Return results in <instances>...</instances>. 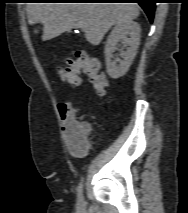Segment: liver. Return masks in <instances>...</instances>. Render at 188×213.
Here are the masks:
<instances>
[{
	"instance_id": "liver-1",
	"label": "liver",
	"mask_w": 188,
	"mask_h": 213,
	"mask_svg": "<svg viewBox=\"0 0 188 213\" xmlns=\"http://www.w3.org/2000/svg\"><path fill=\"white\" fill-rule=\"evenodd\" d=\"M138 16L139 6L135 3H29L27 6L29 24L43 25V41L78 27L92 45H98L113 25Z\"/></svg>"
}]
</instances>
